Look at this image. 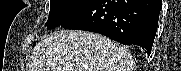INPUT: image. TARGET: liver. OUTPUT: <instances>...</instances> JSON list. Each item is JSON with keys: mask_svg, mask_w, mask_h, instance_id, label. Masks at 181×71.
Listing matches in <instances>:
<instances>
[{"mask_svg": "<svg viewBox=\"0 0 181 71\" xmlns=\"http://www.w3.org/2000/svg\"><path fill=\"white\" fill-rule=\"evenodd\" d=\"M133 68L130 52L109 38L63 30L35 46L29 71H132Z\"/></svg>", "mask_w": 181, "mask_h": 71, "instance_id": "liver-1", "label": "liver"}]
</instances>
